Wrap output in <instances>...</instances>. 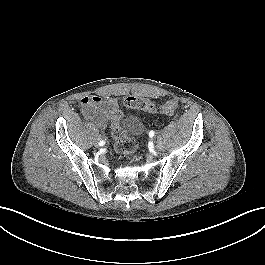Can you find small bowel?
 Instances as JSON below:
<instances>
[{
	"instance_id": "1",
	"label": "small bowel",
	"mask_w": 265,
	"mask_h": 265,
	"mask_svg": "<svg viewBox=\"0 0 265 265\" xmlns=\"http://www.w3.org/2000/svg\"><path fill=\"white\" fill-rule=\"evenodd\" d=\"M117 105L115 98L103 99L98 95L84 96L80 100L83 114L99 126H104L107 114Z\"/></svg>"
}]
</instances>
